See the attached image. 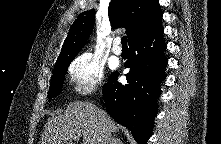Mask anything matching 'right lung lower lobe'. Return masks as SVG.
I'll return each mask as SVG.
<instances>
[{
	"label": "right lung lower lobe",
	"instance_id": "1",
	"mask_svg": "<svg viewBox=\"0 0 221 144\" xmlns=\"http://www.w3.org/2000/svg\"><path fill=\"white\" fill-rule=\"evenodd\" d=\"M163 33L160 23L132 40L130 58L125 63V67L130 68L126 74L128 84L118 83V73L114 72L103 88L109 115L130 129L138 144H146L151 136L161 94L160 83L166 78Z\"/></svg>",
	"mask_w": 221,
	"mask_h": 144
}]
</instances>
